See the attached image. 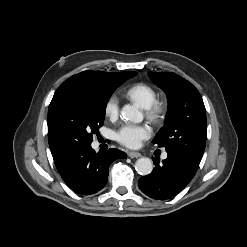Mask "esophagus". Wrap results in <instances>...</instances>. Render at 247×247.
Returning a JSON list of instances; mask_svg holds the SVG:
<instances>
[{
  "mask_svg": "<svg viewBox=\"0 0 247 247\" xmlns=\"http://www.w3.org/2000/svg\"><path fill=\"white\" fill-rule=\"evenodd\" d=\"M128 156L130 158H138L141 156V154L139 152L130 151V152H128Z\"/></svg>",
  "mask_w": 247,
  "mask_h": 247,
  "instance_id": "34e87169",
  "label": "esophagus"
}]
</instances>
